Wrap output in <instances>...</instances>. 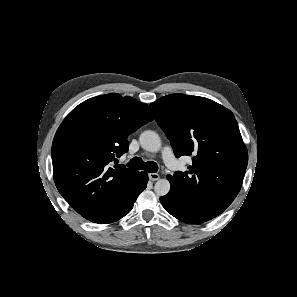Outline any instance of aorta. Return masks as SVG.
<instances>
[{
    "label": "aorta",
    "instance_id": "obj_1",
    "mask_svg": "<svg viewBox=\"0 0 297 297\" xmlns=\"http://www.w3.org/2000/svg\"><path fill=\"white\" fill-rule=\"evenodd\" d=\"M139 142L144 150L149 152H157L161 148V140L159 135L151 130L141 133ZM154 191L158 196H165L170 191V182L167 179H159L155 183Z\"/></svg>",
    "mask_w": 297,
    "mask_h": 297
}]
</instances>
